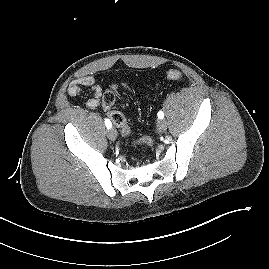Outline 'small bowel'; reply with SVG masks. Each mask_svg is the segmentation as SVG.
<instances>
[{"instance_id": "1", "label": "small bowel", "mask_w": 269, "mask_h": 269, "mask_svg": "<svg viewBox=\"0 0 269 269\" xmlns=\"http://www.w3.org/2000/svg\"><path fill=\"white\" fill-rule=\"evenodd\" d=\"M83 88H88L92 92V97L87 100L86 106L88 108H96L101 103L102 89L96 84L94 77L83 76L74 79L68 86L67 93L69 96L79 95ZM107 111L106 109H104Z\"/></svg>"}]
</instances>
